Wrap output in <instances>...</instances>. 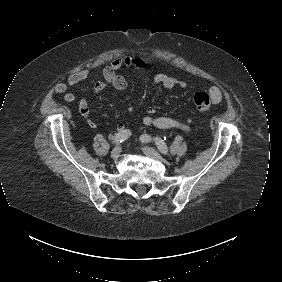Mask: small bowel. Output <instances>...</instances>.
<instances>
[{"label":"small bowel","mask_w":282,"mask_h":282,"mask_svg":"<svg viewBox=\"0 0 282 282\" xmlns=\"http://www.w3.org/2000/svg\"><path fill=\"white\" fill-rule=\"evenodd\" d=\"M150 65V59L140 54H131L115 58L111 64L104 69L103 80L97 81L94 84L93 94L96 96L101 94L108 86H113L117 89H124L127 86V82L119 74V71L123 67L147 69ZM89 74V69L72 73L68 76L66 81L57 83L55 85L54 92L56 94H63L64 100L66 102H73L75 100V95L71 92H68V89L85 80ZM153 82L168 89L176 87L185 88L187 86L185 80L164 73L156 74L153 77ZM209 95L213 104H218L222 100V91L216 86H213L209 89ZM79 111L87 120V123L91 128H97L96 122L90 116L88 101L84 98L79 101ZM142 122L143 125L148 128L177 129L184 132L191 131L190 125L182 120L169 116H156L153 107H149L147 109V115L143 118ZM124 129L125 126L123 124L119 125L115 131L111 132L110 137L113 138L117 136Z\"/></svg>","instance_id":"small-bowel-1"}]
</instances>
